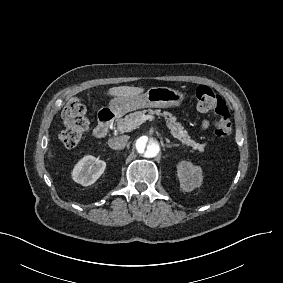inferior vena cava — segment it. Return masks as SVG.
Instances as JSON below:
<instances>
[{"label": "inferior vena cava", "instance_id": "1", "mask_svg": "<svg viewBox=\"0 0 283 283\" xmlns=\"http://www.w3.org/2000/svg\"><path fill=\"white\" fill-rule=\"evenodd\" d=\"M127 139L123 136L109 139L108 144L114 150H121L126 146Z\"/></svg>", "mask_w": 283, "mask_h": 283}]
</instances>
